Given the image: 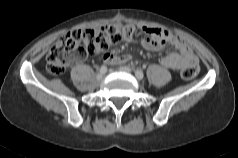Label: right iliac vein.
Listing matches in <instances>:
<instances>
[{
    "label": "right iliac vein",
    "instance_id": "right-iliac-vein-1",
    "mask_svg": "<svg viewBox=\"0 0 238 158\" xmlns=\"http://www.w3.org/2000/svg\"><path fill=\"white\" fill-rule=\"evenodd\" d=\"M104 74L103 73H98L96 78L98 81H101L103 79Z\"/></svg>",
    "mask_w": 238,
    "mask_h": 158
}]
</instances>
